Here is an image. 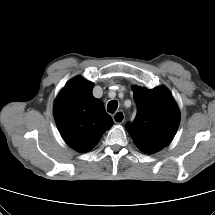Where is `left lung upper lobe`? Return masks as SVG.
<instances>
[{
    "label": "left lung upper lobe",
    "instance_id": "1",
    "mask_svg": "<svg viewBox=\"0 0 215 215\" xmlns=\"http://www.w3.org/2000/svg\"><path fill=\"white\" fill-rule=\"evenodd\" d=\"M137 114L126 129L136 146L153 154L170 144L179 126V109L167 88L147 89L134 86Z\"/></svg>",
    "mask_w": 215,
    "mask_h": 215
}]
</instances>
